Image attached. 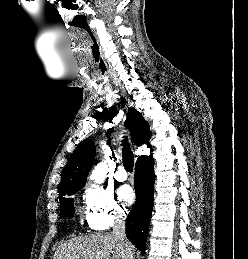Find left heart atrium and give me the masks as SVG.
I'll use <instances>...</instances> for the list:
<instances>
[{
	"mask_svg": "<svg viewBox=\"0 0 248 259\" xmlns=\"http://www.w3.org/2000/svg\"><path fill=\"white\" fill-rule=\"evenodd\" d=\"M118 196L126 205H131L135 201V193L128 185H124L118 189Z\"/></svg>",
	"mask_w": 248,
	"mask_h": 259,
	"instance_id": "obj_1",
	"label": "left heart atrium"
}]
</instances>
